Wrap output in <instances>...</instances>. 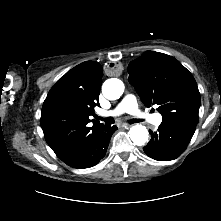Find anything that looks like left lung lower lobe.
<instances>
[{"label":"left lung lower lobe","instance_id":"left-lung-lower-lobe-1","mask_svg":"<svg viewBox=\"0 0 221 221\" xmlns=\"http://www.w3.org/2000/svg\"><path fill=\"white\" fill-rule=\"evenodd\" d=\"M196 125L190 121L162 122L157 132L150 131L151 140L144 152L158 161L176 159L186 149Z\"/></svg>","mask_w":221,"mask_h":221}]
</instances>
